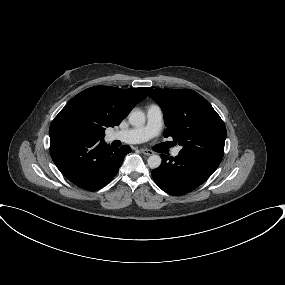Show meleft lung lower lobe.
<instances>
[{"mask_svg":"<svg viewBox=\"0 0 285 285\" xmlns=\"http://www.w3.org/2000/svg\"><path fill=\"white\" fill-rule=\"evenodd\" d=\"M162 165L153 170L152 177L166 193L180 196L204 183L217 169L220 161L213 158L179 152L176 158L161 155Z\"/></svg>","mask_w":285,"mask_h":285,"instance_id":"0a47b994","label":"left lung lower lobe"}]
</instances>
